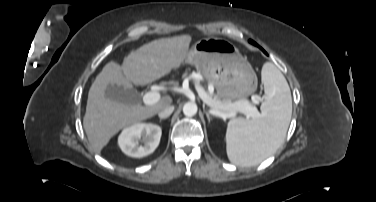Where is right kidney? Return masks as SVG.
I'll return each mask as SVG.
<instances>
[{"instance_id": "obj_1", "label": "right kidney", "mask_w": 376, "mask_h": 202, "mask_svg": "<svg viewBox=\"0 0 376 202\" xmlns=\"http://www.w3.org/2000/svg\"><path fill=\"white\" fill-rule=\"evenodd\" d=\"M161 134L162 130L158 125L136 123L121 132L118 144L126 155L141 158L154 152L159 145ZM141 138L143 145L139 144Z\"/></svg>"}]
</instances>
